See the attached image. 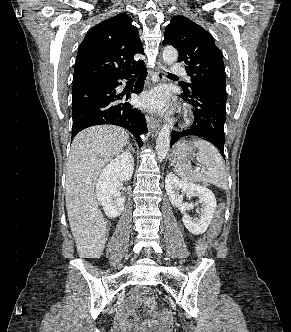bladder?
Here are the masks:
<instances>
[{
    "label": "bladder",
    "instance_id": "31cf9c89",
    "mask_svg": "<svg viewBox=\"0 0 291 332\" xmlns=\"http://www.w3.org/2000/svg\"><path fill=\"white\" fill-rule=\"evenodd\" d=\"M152 332H157V331H152ZM164 332H167V331H164Z\"/></svg>",
    "mask_w": 291,
    "mask_h": 332
}]
</instances>
